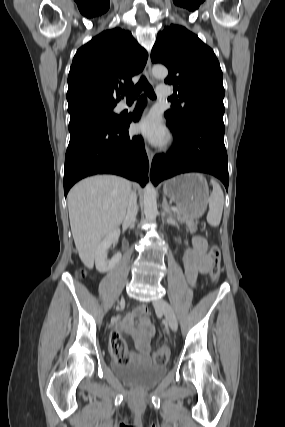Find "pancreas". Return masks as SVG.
Listing matches in <instances>:
<instances>
[{"label":"pancreas","instance_id":"obj_1","mask_svg":"<svg viewBox=\"0 0 285 427\" xmlns=\"http://www.w3.org/2000/svg\"><path fill=\"white\" fill-rule=\"evenodd\" d=\"M177 218L180 222H185L188 225V228L191 232L196 231L197 229V222H194V220L189 219L182 211L176 212Z\"/></svg>","mask_w":285,"mask_h":427}]
</instances>
